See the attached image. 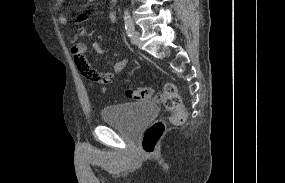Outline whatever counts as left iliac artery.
Listing matches in <instances>:
<instances>
[{"label": "left iliac artery", "instance_id": "44dca946", "mask_svg": "<svg viewBox=\"0 0 285 183\" xmlns=\"http://www.w3.org/2000/svg\"><path fill=\"white\" fill-rule=\"evenodd\" d=\"M124 21H125V29L128 37H131L134 33L135 27L133 21L129 15L128 10L124 11Z\"/></svg>", "mask_w": 285, "mask_h": 183}]
</instances>
